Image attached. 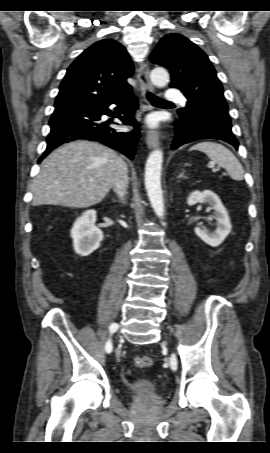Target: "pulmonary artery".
I'll list each match as a JSON object with an SVG mask.
<instances>
[{"mask_svg":"<svg viewBox=\"0 0 270 453\" xmlns=\"http://www.w3.org/2000/svg\"><path fill=\"white\" fill-rule=\"evenodd\" d=\"M167 100L170 101H184V96L183 94L175 89H169L166 94Z\"/></svg>","mask_w":270,"mask_h":453,"instance_id":"1","label":"pulmonary artery"}]
</instances>
